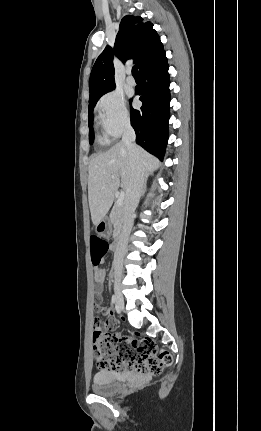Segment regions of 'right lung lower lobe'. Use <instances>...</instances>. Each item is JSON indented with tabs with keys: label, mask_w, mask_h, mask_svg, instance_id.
<instances>
[{
	"label": "right lung lower lobe",
	"mask_w": 261,
	"mask_h": 431,
	"mask_svg": "<svg viewBox=\"0 0 261 431\" xmlns=\"http://www.w3.org/2000/svg\"><path fill=\"white\" fill-rule=\"evenodd\" d=\"M165 51L139 69L140 84L135 94L142 101L140 110L131 107V125L136 133V142L151 154L163 160L168 141L170 80Z\"/></svg>",
	"instance_id": "right-lung-lower-lobe-1"
}]
</instances>
